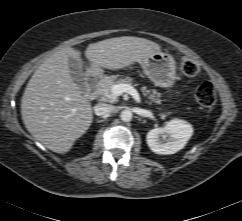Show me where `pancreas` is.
Here are the masks:
<instances>
[{
    "label": "pancreas",
    "mask_w": 242,
    "mask_h": 221,
    "mask_svg": "<svg viewBox=\"0 0 242 221\" xmlns=\"http://www.w3.org/2000/svg\"><path fill=\"white\" fill-rule=\"evenodd\" d=\"M132 79L129 77L119 78L117 75H111L104 77L98 84L97 87V95L99 101L107 102V103H116L118 102L117 96L113 95L112 87L116 84H131ZM142 92L144 96H147L151 102H155L157 104L161 103L159 99L160 94L155 90H148L146 86L142 87Z\"/></svg>",
    "instance_id": "cf45deb5"
}]
</instances>
